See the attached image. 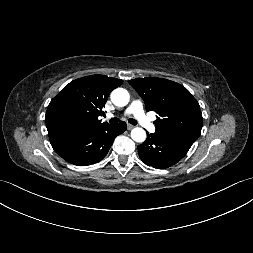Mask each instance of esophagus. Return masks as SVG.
Instances as JSON below:
<instances>
[{
    "label": "esophagus",
    "mask_w": 253,
    "mask_h": 253,
    "mask_svg": "<svg viewBox=\"0 0 253 253\" xmlns=\"http://www.w3.org/2000/svg\"><path fill=\"white\" fill-rule=\"evenodd\" d=\"M134 127H135V126H134V125H131V124H128V125H127L128 130H132Z\"/></svg>",
    "instance_id": "34e87169"
}]
</instances>
